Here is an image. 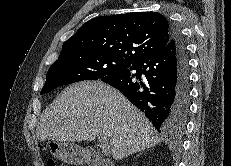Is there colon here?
<instances>
[{
	"label": "colon",
	"mask_w": 231,
	"mask_h": 166,
	"mask_svg": "<svg viewBox=\"0 0 231 166\" xmlns=\"http://www.w3.org/2000/svg\"><path fill=\"white\" fill-rule=\"evenodd\" d=\"M48 166H56V163L53 160H50L48 162Z\"/></svg>",
	"instance_id": "1"
}]
</instances>
